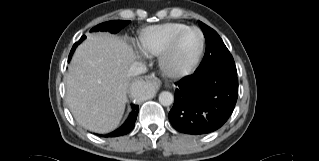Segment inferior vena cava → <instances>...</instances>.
Here are the masks:
<instances>
[{
    "label": "inferior vena cava",
    "mask_w": 319,
    "mask_h": 161,
    "mask_svg": "<svg viewBox=\"0 0 319 161\" xmlns=\"http://www.w3.org/2000/svg\"><path fill=\"white\" fill-rule=\"evenodd\" d=\"M145 72H146V66L145 64L141 62H134L128 70V73L131 76L140 75Z\"/></svg>",
    "instance_id": "inferior-vena-cava-1"
}]
</instances>
